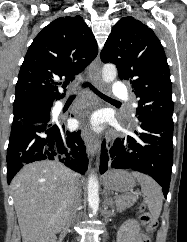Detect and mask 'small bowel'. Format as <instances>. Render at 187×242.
I'll list each match as a JSON object with an SVG mask.
<instances>
[{
	"instance_id": "1",
	"label": "small bowel",
	"mask_w": 187,
	"mask_h": 242,
	"mask_svg": "<svg viewBox=\"0 0 187 242\" xmlns=\"http://www.w3.org/2000/svg\"><path fill=\"white\" fill-rule=\"evenodd\" d=\"M140 239H141V236H140V237H138V239L136 240V242H140Z\"/></svg>"
}]
</instances>
